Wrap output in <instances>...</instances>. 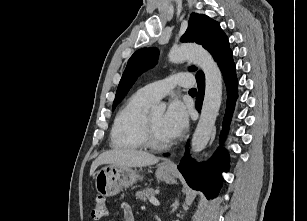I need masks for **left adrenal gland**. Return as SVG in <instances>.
<instances>
[{"label": "left adrenal gland", "instance_id": "a2214340", "mask_svg": "<svg viewBox=\"0 0 307 221\" xmlns=\"http://www.w3.org/2000/svg\"><path fill=\"white\" fill-rule=\"evenodd\" d=\"M179 207V201L178 199L175 200V202L172 204V210H171V214L176 211Z\"/></svg>", "mask_w": 307, "mask_h": 221}]
</instances>
